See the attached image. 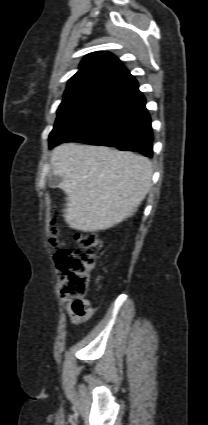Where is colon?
Returning a JSON list of instances; mask_svg holds the SVG:
<instances>
[{"instance_id":"5ec220e1","label":"colon","mask_w":208,"mask_h":425,"mask_svg":"<svg viewBox=\"0 0 208 425\" xmlns=\"http://www.w3.org/2000/svg\"><path fill=\"white\" fill-rule=\"evenodd\" d=\"M77 249L68 250L62 245L60 230L51 226L49 245L55 251V262L61 279V294L76 302L81 309L88 305L86 294L90 272L102 253L100 237L91 232L76 236Z\"/></svg>"}]
</instances>
